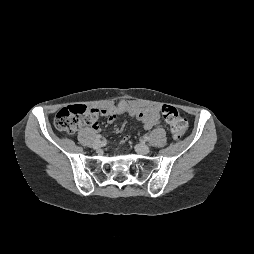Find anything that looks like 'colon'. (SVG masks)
Segmentation results:
<instances>
[{"label":"colon","instance_id":"colon-1","mask_svg":"<svg viewBox=\"0 0 254 254\" xmlns=\"http://www.w3.org/2000/svg\"><path fill=\"white\" fill-rule=\"evenodd\" d=\"M160 112L175 139L181 138L187 131L188 124L181 112L171 105H163ZM99 112L85 105H72L59 110L55 116V127L66 133H75L80 126L96 121Z\"/></svg>","mask_w":254,"mask_h":254}]
</instances>
